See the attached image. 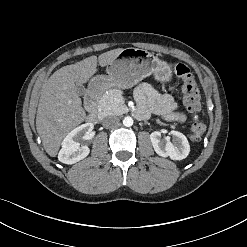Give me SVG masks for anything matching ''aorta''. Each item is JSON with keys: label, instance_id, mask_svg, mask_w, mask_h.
Segmentation results:
<instances>
[{"label": "aorta", "instance_id": "762f6f07", "mask_svg": "<svg viewBox=\"0 0 247 247\" xmlns=\"http://www.w3.org/2000/svg\"><path fill=\"white\" fill-rule=\"evenodd\" d=\"M123 124L126 127H130L133 125V119L130 116H127L123 119Z\"/></svg>", "mask_w": 247, "mask_h": 247}]
</instances>
